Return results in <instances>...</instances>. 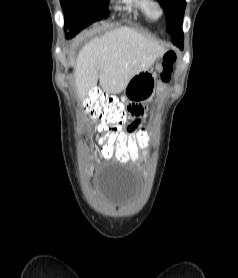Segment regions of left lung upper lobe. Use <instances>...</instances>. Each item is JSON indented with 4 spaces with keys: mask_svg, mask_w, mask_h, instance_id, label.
<instances>
[{
    "mask_svg": "<svg viewBox=\"0 0 238 278\" xmlns=\"http://www.w3.org/2000/svg\"><path fill=\"white\" fill-rule=\"evenodd\" d=\"M166 13V30L172 35L182 25L185 11V0H159Z\"/></svg>",
    "mask_w": 238,
    "mask_h": 278,
    "instance_id": "1",
    "label": "left lung upper lobe"
}]
</instances>
